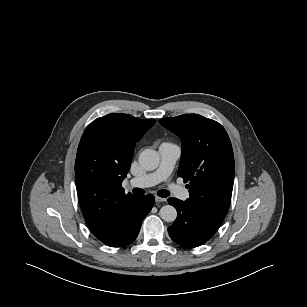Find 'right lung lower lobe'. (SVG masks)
Here are the masks:
<instances>
[{
  "mask_svg": "<svg viewBox=\"0 0 307 307\" xmlns=\"http://www.w3.org/2000/svg\"><path fill=\"white\" fill-rule=\"evenodd\" d=\"M153 204L154 196L152 194L141 196V204L136 210L127 231L122 238L112 244H108V246L122 247L132 243L137 238L142 221L144 217L151 211Z\"/></svg>",
  "mask_w": 307,
  "mask_h": 307,
  "instance_id": "obj_1",
  "label": "right lung lower lobe"
}]
</instances>
